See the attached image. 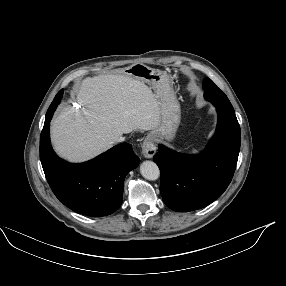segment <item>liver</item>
Returning a JSON list of instances; mask_svg holds the SVG:
<instances>
[{
  "label": "liver",
  "instance_id": "6515ba94",
  "mask_svg": "<svg viewBox=\"0 0 286 286\" xmlns=\"http://www.w3.org/2000/svg\"><path fill=\"white\" fill-rule=\"evenodd\" d=\"M77 100L86 109L65 108L51 123L54 149L71 162L97 156L122 134L155 130L160 125L156 95L145 83L127 75L86 78Z\"/></svg>",
  "mask_w": 286,
  "mask_h": 286
}]
</instances>
